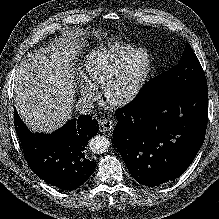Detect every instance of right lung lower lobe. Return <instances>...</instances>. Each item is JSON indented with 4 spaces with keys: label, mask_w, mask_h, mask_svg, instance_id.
Wrapping results in <instances>:
<instances>
[{
    "label": "right lung lower lobe",
    "mask_w": 219,
    "mask_h": 219,
    "mask_svg": "<svg viewBox=\"0 0 219 219\" xmlns=\"http://www.w3.org/2000/svg\"><path fill=\"white\" fill-rule=\"evenodd\" d=\"M14 113L25 159L38 177L60 189L73 190L92 175L96 162L87 159L85 147L99 130L96 119L80 115L52 134H39L27 128L16 110Z\"/></svg>",
    "instance_id": "98d812e1"
}]
</instances>
